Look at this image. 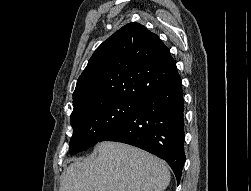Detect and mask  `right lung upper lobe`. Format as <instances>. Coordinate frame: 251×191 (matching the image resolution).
Here are the masks:
<instances>
[{"label":"right lung upper lobe","instance_id":"cb5924a9","mask_svg":"<svg viewBox=\"0 0 251 191\" xmlns=\"http://www.w3.org/2000/svg\"><path fill=\"white\" fill-rule=\"evenodd\" d=\"M179 77L160 38L138 23H129L93 53L77 81L74 110L116 100L139 103Z\"/></svg>","mask_w":251,"mask_h":191}]
</instances>
